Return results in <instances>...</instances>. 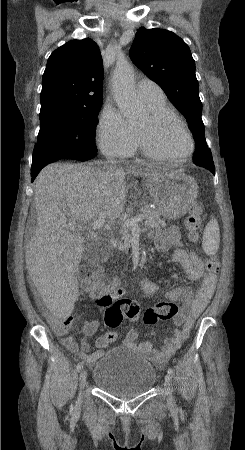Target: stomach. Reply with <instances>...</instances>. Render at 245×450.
<instances>
[{
    "mask_svg": "<svg viewBox=\"0 0 245 450\" xmlns=\"http://www.w3.org/2000/svg\"><path fill=\"white\" fill-rule=\"evenodd\" d=\"M145 186L166 219L184 216L198 196V185L193 177L179 170L161 169L146 179Z\"/></svg>",
    "mask_w": 245,
    "mask_h": 450,
    "instance_id": "1",
    "label": "stomach"
}]
</instances>
